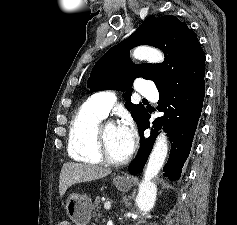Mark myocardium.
I'll list each match as a JSON object with an SVG mask.
<instances>
[{
  "mask_svg": "<svg viewBox=\"0 0 237 225\" xmlns=\"http://www.w3.org/2000/svg\"><path fill=\"white\" fill-rule=\"evenodd\" d=\"M109 125H115L112 121H101L96 129H95V141H96V148L99 157L101 158V162L111 165V166H121L128 162L129 157H126L122 160H115L110 157L105 143V129Z\"/></svg>",
  "mask_w": 237,
  "mask_h": 225,
  "instance_id": "f54148a6",
  "label": "myocardium"
}]
</instances>
